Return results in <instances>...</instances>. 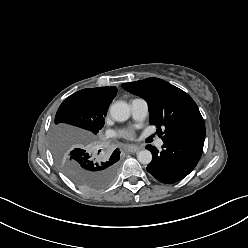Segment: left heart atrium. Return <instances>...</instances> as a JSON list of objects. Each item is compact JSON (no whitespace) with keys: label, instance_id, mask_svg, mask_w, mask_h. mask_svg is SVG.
Instances as JSON below:
<instances>
[{"label":"left heart atrium","instance_id":"left-heart-atrium-1","mask_svg":"<svg viewBox=\"0 0 248 248\" xmlns=\"http://www.w3.org/2000/svg\"><path fill=\"white\" fill-rule=\"evenodd\" d=\"M124 135L129 137L132 135V133L130 131H127V132H124Z\"/></svg>","mask_w":248,"mask_h":248}]
</instances>
